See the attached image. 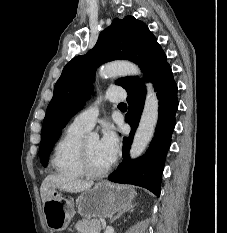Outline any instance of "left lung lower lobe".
<instances>
[{"instance_id":"obj_1","label":"left lung lower lobe","mask_w":227,"mask_h":233,"mask_svg":"<svg viewBox=\"0 0 227 233\" xmlns=\"http://www.w3.org/2000/svg\"><path fill=\"white\" fill-rule=\"evenodd\" d=\"M154 85L159 98V119L150 147L140 158L134 161L130 160L129 149L134 131L139 124L146 95L145 89L131 91L127 98L129 110L125 116L126 122L131 126V132L128 137L123 138V161L110 174L109 180L121 184L141 186L159 196L161 174L171 144V136L175 127V114L178 109L177 85L170 66L159 74Z\"/></svg>"}]
</instances>
